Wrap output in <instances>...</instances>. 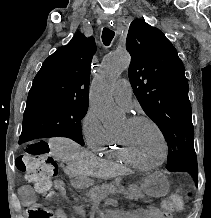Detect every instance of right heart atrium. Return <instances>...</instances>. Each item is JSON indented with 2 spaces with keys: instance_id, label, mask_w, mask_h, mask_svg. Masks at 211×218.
<instances>
[{
  "instance_id": "d8ad5b80",
  "label": "right heart atrium",
  "mask_w": 211,
  "mask_h": 218,
  "mask_svg": "<svg viewBox=\"0 0 211 218\" xmlns=\"http://www.w3.org/2000/svg\"><path fill=\"white\" fill-rule=\"evenodd\" d=\"M80 128L88 146L94 150L101 145L109 135V131L105 128L98 114L92 108H89L83 115Z\"/></svg>"
}]
</instances>
